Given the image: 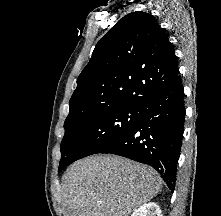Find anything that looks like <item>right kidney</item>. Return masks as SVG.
<instances>
[{
  "label": "right kidney",
  "mask_w": 221,
  "mask_h": 216,
  "mask_svg": "<svg viewBox=\"0 0 221 216\" xmlns=\"http://www.w3.org/2000/svg\"><path fill=\"white\" fill-rule=\"evenodd\" d=\"M131 216H162L160 207L149 202L136 209Z\"/></svg>",
  "instance_id": "1"
}]
</instances>
